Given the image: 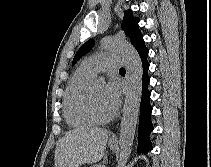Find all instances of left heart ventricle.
Instances as JSON below:
<instances>
[{"label": "left heart ventricle", "mask_w": 211, "mask_h": 167, "mask_svg": "<svg viewBox=\"0 0 211 167\" xmlns=\"http://www.w3.org/2000/svg\"><path fill=\"white\" fill-rule=\"evenodd\" d=\"M91 96L93 108L99 116L107 117L112 114L104 99L103 85L91 86Z\"/></svg>", "instance_id": "left-heart-ventricle-1"}]
</instances>
